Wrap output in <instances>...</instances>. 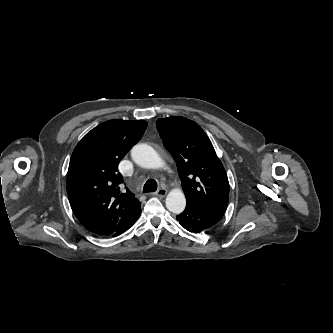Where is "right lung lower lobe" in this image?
<instances>
[{
  "mask_svg": "<svg viewBox=\"0 0 333 333\" xmlns=\"http://www.w3.org/2000/svg\"><path fill=\"white\" fill-rule=\"evenodd\" d=\"M139 216H140V214L135 219H133L127 226H125L123 229L116 232L113 236L119 235V234L125 232L127 229H129L136 222V220L139 218Z\"/></svg>",
  "mask_w": 333,
  "mask_h": 333,
  "instance_id": "98d812e1",
  "label": "right lung lower lobe"
}]
</instances>
